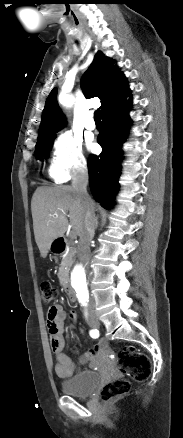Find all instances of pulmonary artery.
Instances as JSON below:
<instances>
[{"label":"pulmonary artery","instance_id":"pulmonary-artery-1","mask_svg":"<svg viewBox=\"0 0 183 438\" xmlns=\"http://www.w3.org/2000/svg\"><path fill=\"white\" fill-rule=\"evenodd\" d=\"M85 128L88 130H94L96 128V124L92 118V114L88 113L84 122Z\"/></svg>","mask_w":183,"mask_h":438}]
</instances>
